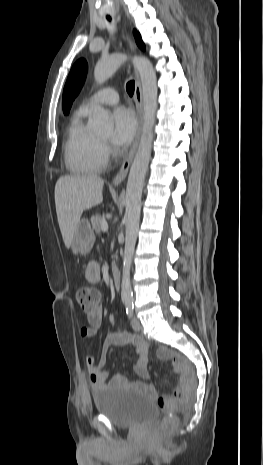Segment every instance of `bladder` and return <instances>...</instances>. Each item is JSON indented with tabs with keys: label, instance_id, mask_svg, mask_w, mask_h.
Listing matches in <instances>:
<instances>
[{
	"label": "bladder",
	"instance_id": "31cf9c89",
	"mask_svg": "<svg viewBox=\"0 0 263 465\" xmlns=\"http://www.w3.org/2000/svg\"><path fill=\"white\" fill-rule=\"evenodd\" d=\"M97 412L120 428H131L153 420L158 413L155 402L132 388L107 386L93 395Z\"/></svg>",
	"mask_w": 263,
	"mask_h": 465
}]
</instances>
